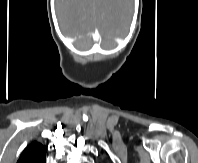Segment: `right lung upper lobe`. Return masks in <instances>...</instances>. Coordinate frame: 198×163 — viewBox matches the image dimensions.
<instances>
[{
  "label": "right lung upper lobe",
  "instance_id": "obj_1",
  "mask_svg": "<svg viewBox=\"0 0 198 163\" xmlns=\"http://www.w3.org/2000/svg\"><path fill=\"white\" fill-rule=\"evenodd\" d=\"M46 151L47 148L45 145L33 141L24 149L17 163H45Z\"/></svg>",
  "mask_w": 198,
  "mask_h": 163
}]
</instances>
